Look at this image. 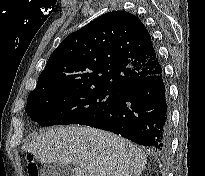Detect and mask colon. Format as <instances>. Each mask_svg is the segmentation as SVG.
I'll list each match as a JSON object with an SVG mask.
<instances>
[{
  "mask_svg": "<svg viewBox=\"0 0 205 176\" xmlns=\"http://www.w3.org/2000/svg\"><path fill=\"white\" fill-rule=\"evenodd\" d=\"M27 161H28L27 169H28L30 176H38L37 166L33 162V156L28 155Z\"/></svg>",
  "mask_w": 205,
  "mask_h": 176,
  "instance_id": "5ec220e1",
  "label": "colon"
}]
</instances>
